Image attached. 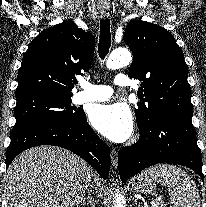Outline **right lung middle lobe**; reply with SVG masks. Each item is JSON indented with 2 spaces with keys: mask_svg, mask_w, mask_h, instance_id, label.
Instances as JSON below:
<instances>
[{
  "mask_svg": "<svg viewBox=\"0 0 206 207\" xmlns=\"http://www.w3.org/2000/svg\"><path fill=\"white\" fill-rule=\"evenodd\" d=\"M72 95L36 94L17 99L13 130L52 120H78L82 110L71 107Z\"/></svg>",
  "mask_w": 206,
  "mask_h": 207,
  "instance_id": "dd1d6c3e",
  "label": "right lung middle lobe"
}]
</instances>
